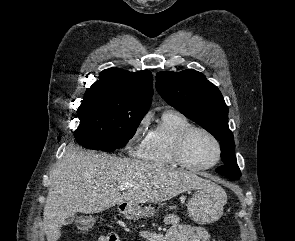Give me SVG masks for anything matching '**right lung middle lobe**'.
<instances>
[{"label": "right lung middle lobe", "instance_id": "right-lung-middle-lobe-1", "mask_svg": "<svg viewBox=\"0 0 295 241\" xmlns=\"http://www.w3.org/2000/svg\"><path fill=\"white\" fill-rule=\"evenodd\" d=\"M146 113L104 93L87 94L77 110L80 124L74 137L87 149L114 151L134 136Z\"/></svg>", "mask_w": 295, "mask_h": 241}]
</instances>
